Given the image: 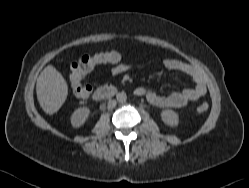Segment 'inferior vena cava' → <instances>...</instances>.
<instances>
[{
  "mask_svg": "<svg viewBox=\"0 0 249 188\" xmlns=\"http://www.w3.org/2000/svg\"><path fill=\"white\" fill-rule=\"evenodd\" d=\"M116 106V101L115 100H109L107 108L108 110H112Z\"/></svg>",
  "mask_w": 249,
  "mask_h": 188,
  "instance_id": "inferior-vena-cava-1",
  "label": "inferior vena cava"
}]
</instances>
